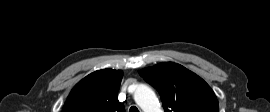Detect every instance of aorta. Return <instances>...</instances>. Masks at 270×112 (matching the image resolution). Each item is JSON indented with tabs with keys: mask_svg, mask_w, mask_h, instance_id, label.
<instances>
[{
	"mask_svg": "<svg viewBox=\"0 0 270 112\" xmlns=\"http://www.w3.org/2000/svg\"><path fill=\"white\" fill-rule=\"evenodd\" d=\"M134 100L144 112H163L159 106L155 92L144 84L136 87Z\"/></svg>",
	"mask_w": 270,
	"mask_h": 112,
	"instance_id": "762f6f07",
	"label": "aorta"
}]
</instances>
